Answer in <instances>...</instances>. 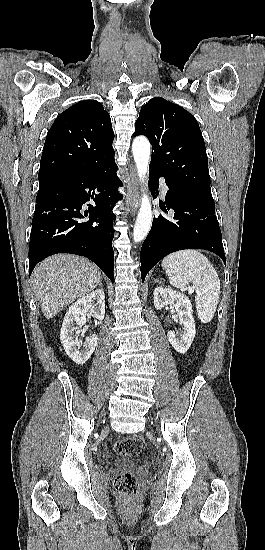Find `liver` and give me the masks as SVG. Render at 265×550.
<instances>
[{
    "instance_id": "6515ba94",
    "label": "liver",
    "mask_w": 265,
    "mask_h": 550,
    "mask_svg": "<svg viewBox=\"0 0 265 550\" xmlns=\"http://www.w3.org/2000/svg\"><path fill=\"white\" fill-rule=\"evenodd\" d=\"M101 282L100 269L84 257L57 254L43 260L33 272V288L47 319L87 295Z\"/></svg>"
}]
</instances>
